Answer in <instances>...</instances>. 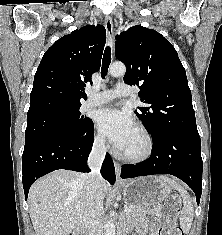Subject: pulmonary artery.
<instances>
[{"label":"pulmonary artery","instance_id":"obj_1","mask_svg":"<svg viewBox=\"0 0 222 235\" xmlns=\"http://www.w3.org/2000/svg\"><path fill=\"white\" fill-rule=\"evenodd\" d=\"M131 89L125 84H117L114 89H106L101 92L95 93L89 91L88 99L84 104V108H91L108 103L116 97H127L131 95Z\"/></svg>","mask_w":222,"mask_h":235}]
</instances>
